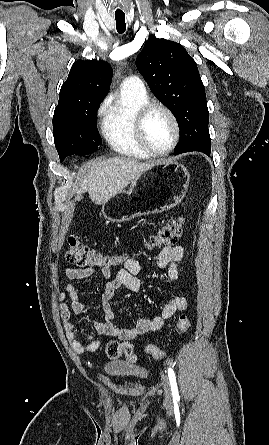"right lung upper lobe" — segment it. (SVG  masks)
<instances>
[{"instance_id":"cb5924a9","label":"right lung upper lobe","mask_w":269,"mask_h":445,"mask_svg":"<svg viewBox=\"0 0 269 445\" xmlns=\"http://www.w3.org/2000/svg\"><path fill=\"white\" fill-rule=\"evenodd\" d=\"M111 77V66L105 61H76L61 87L58 104L102 101L109 91Z\"/></svg>"}]
</instances>
